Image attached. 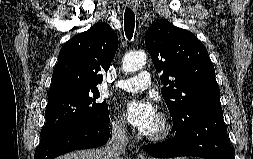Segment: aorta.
I'll list each match as a JSON object with an SVG mask.
<instances>
[{
  "mask_svg": "<svg viewBox=\"0 0 253 159\" xmlns=\"http://www.w3.org/2000/svg\"><path fill=\"white\" fill-rule=\"evenodd\" d=\"M147 62V55L143 51L129 52L122 61V70L125 73H132L141 69Z\"/></svg>",
  "mask_w": 253,
  "mask_h": 159,
  "instance_id": "aorta-1",
  "label": "aorta"
}]
</instances>
